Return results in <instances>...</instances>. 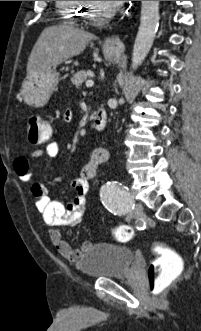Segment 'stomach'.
Listing matches in <instances>:
<instances>
[{"instance_id": "0dacf381", "label": "stomach", "mask_w": 201, "mask_h": 331, "mask_svg": "<svg viewBox=\"0 0 201 331\" xmlns=\"http://www.w3.org/2000/svg\"><path fill=\"white\" fill-rule=\"evenodd\" d=\"M104 54L112 62H118L120 60L119 54L107 48L104 49ZM58 76L59 74L55 68H47L27 77L21 89V94L26 103L34 107L44 106L55 90Z\"/></svg>"}]
</instances>
